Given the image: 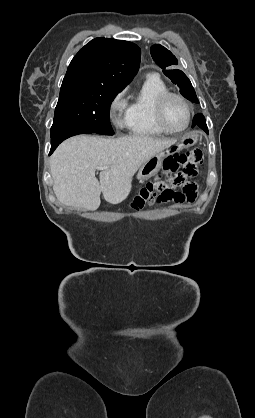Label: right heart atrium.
I'll list each match as a JSON object with an SVG mask.
<instances>
[{
  "label": "right heart atrium",
  "instance_id": "d8ad5b80",
  "mask_svg": "<svg viewBox=\"0 0 255 418\" xmlns=\"http://www.w3.org/2000/svg\"><path fill=\"white\" fill-rule=\"evenodd\" d=\"M109 118L114 126L122 128L127 122V103L125 99V91L118 92L109 104Z\"/></svg>",
  "mask_w": 255,
  "mask_h": 418
}]
</instances>
